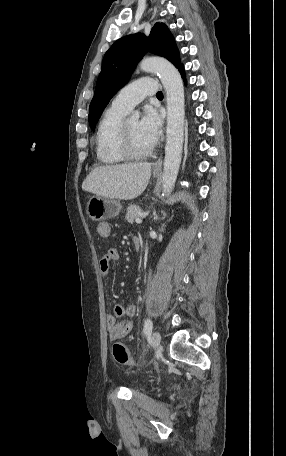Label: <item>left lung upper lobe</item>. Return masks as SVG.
<instances>
[{
	"label": "left lung upper lobe",
	"instance_id": "left-lung-upper-lobe-1",
	"mask_svg": "<svg viewBox=\"0 0 286 456\" xmlns=\"http://www.w3.org/2000/svg\"><path fill=\"white\" fill-rule=\"evenodd\" d=\"M168 59L176 68L181 64L175 40L167 26L156 23L147 38L144 34L118 39L106 52L89 107V125L95 129L103 110L114 94L124 86L146 50Z\"/></svg>",
	"mask_w": 286,
	"mask_h": 456
}]
</instances>
